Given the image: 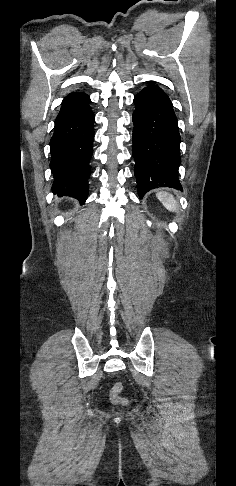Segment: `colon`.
Masks as SVG:
<instances>
[{
  "label": "colon",
  "mask_w": 236,
  "mask_h": 486,
  "mask_svg": "<svg viewBox=\"0 0 236 486\" xmlns=\"http://www.w3.org/2000/svg\"><path fill=\"white\" fill-rule=\"evenodd\" d=\"M122 384L116 383L110 391V400L113 404L125 406L128 404V399L122 396Z\"/></svg>",
  "instance_id": "obj_1"
}]
</instances>
